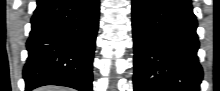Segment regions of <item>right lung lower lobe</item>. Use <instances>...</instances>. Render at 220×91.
Returning <instances> with one entry per match:
<instances>
[{"mask_svg":"<svg viewBox=\"0 0 220 91\" xmlns=\"http://www.w3.org/2000/svg\"><path fill=\"white\" fill-rule=\"evenodd\" d=\"M99 0H38L23 69L26 91L59 85L92 91Z\"/></svg>","mask_w":220,"mask_h":91,"instance_id":"98d812e1","label":"right lung lower lobe"}]
</instances>
